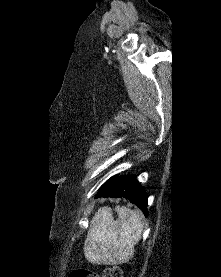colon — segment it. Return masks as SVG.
Wrapping results in <instances>:
<instances>
[{"instance_id":"1","label":"colon","mask_w":221,"mask_h":277,"mask_svg":"<svg viewBox=\"0 0 221 277\" xmlns=\"http://www.w3.org/2000/svg\"><path fill=\"white\" fill-rule=\"evenodd\" d=\"M70 277H123V272L119 266L108 267L101 274L79 267L71 272Z\"/></svg>"}]
</instances>
